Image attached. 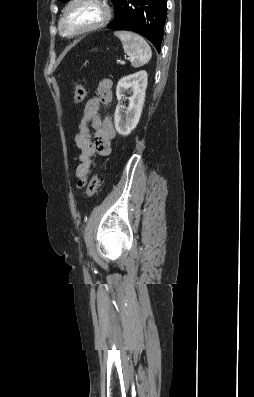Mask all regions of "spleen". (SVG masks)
<instances>
[{"instance_id": "obj_1", "label": "spleen", "mask_w": 254, "mask_h": 397, "mask_svg": "<svg viewBox=\"0 0 254 397\" xmlns=\"http://www.w3.org/2000/svg\"><path fill=\"white\" fill-rule=\"evenodd\" d=\"M114 35L121 40L124 52L130 57L133 67H140L149 62L152 51L140 35L131 31H115Z\"/></svg>"}]
</instances>
